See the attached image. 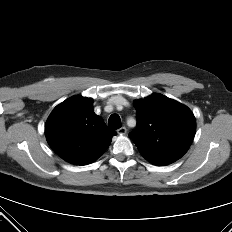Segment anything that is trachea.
I'll return each mask as SVG.
<instances>
[{
  "label": "trachea",
  "mask_w": 232,
  "mask_h": 232,
  "mask_svg": "<svg viewBox=\"0 0 232 232\" xmlns=\"http://www.w3.org/2000/svg\"><path fill=\"white\" fill-rule=\"evenodd\" d=\"M108 126H109L111 129H119V128L121 127V119H120L119 115H117V114H112V115L109 117Z\"/></svg>",
  "instance_id": "3493384b"
}]
</instances>
